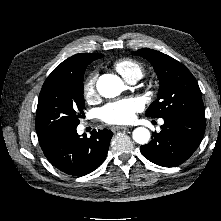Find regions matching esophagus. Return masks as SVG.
I'll return each mask as SVG.
<instances>
[{
	"label": "esophagus",
	"mask_w": 221,
	"mask_h": 221,
	"mask_svg": "<svg viewBox=\"0 0 221 221\" xmlns=\"http://www.w3.org/2000/svg\"><path fill=\"white\" fill-rule=\"evenodd\" d=\"M128 129H129V127H126V126H113V127L111 128V130H112L113 132L118 131V130H128Z\"/></svg>",
	"instance_id": "1"
}]
</instances>
